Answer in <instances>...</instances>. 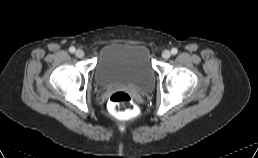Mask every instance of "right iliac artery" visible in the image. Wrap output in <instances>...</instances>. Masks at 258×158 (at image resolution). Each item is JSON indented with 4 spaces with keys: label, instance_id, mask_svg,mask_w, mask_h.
<instances>
[{
    "label": "right iliac artery",
    "instance_id": "82829eb1",
    "mask_svg": "<svg viewBox=\"0 0 258 158\" xmlns=\"http://www.w3.org/2000/svg\"><path fill=\"white\" fill-rule=\"evenodd\" d=\"M75 47H73V46H71L70 48H69V51L71 52V53H74L75 52Z\"/></svg>",
    "mask_w": 258,
    "mask_h": 158
}]
</instances>
